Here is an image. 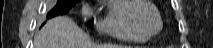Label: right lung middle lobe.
<instances>
[{
    "instance_id": "obj_1",
    "label": "right lung middle lobe",
    "mask_w": 213,
    "mask_h": 48,
    "mask_svg": "<svg viewBox=\"0 0 213 48\" xmlns=\"http://www.w3.org/2000/svg\"><path fill=\"white\" fill-rule=\"evenodd\" d=\"M81 0H58L55 7L48 13V18L67 13L76 3Z\"/></svg>"
}]
</instances>
